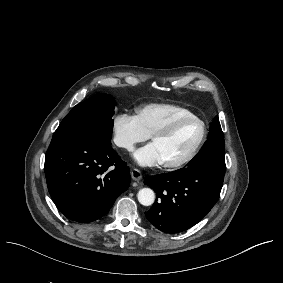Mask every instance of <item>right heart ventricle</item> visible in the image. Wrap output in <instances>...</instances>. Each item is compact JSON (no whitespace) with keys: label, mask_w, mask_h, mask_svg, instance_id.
Masks as SVG:
<instances>
[{"label":"right heart ventricle","mask_w":283,"mask_h":283,"mask_svg":"<svg viewBox=\"0 0 283 283\" xmlns=\"http://www.w3.org/2000/svg\"><path fill=\"white\" fill-rule=\"evenodd\" d=\"M190 114L192 112L187 108L168 103H151L138 110V116L149 135L163 130L176 118Z\"/></svg>","instance_id":"right-heart-ventricle-1"}]
</instances>
